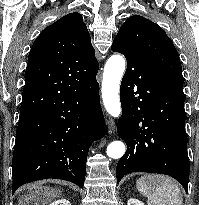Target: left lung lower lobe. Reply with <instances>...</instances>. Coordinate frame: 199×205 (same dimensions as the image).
<instances>
[{"instance_id": "0a47b994", "label": "left lung lower lobe", "mask_w": 199, "mask_h": 205, "mask_svg": "<svg viewBox=\"0 0 199 205\" xmlns=\"http://www.w3.org/2000/svg\"><path fill=\"white\" fill-rule=\"evenodd\" d=\"M111 49L127 59L120 87L122 116L117 124L127 151L117 164V183L132 172L160 173L175 178L187 192L190 164L184 94L168 87L136 54L119 44Z\"/></svg>"}]
</instances>
